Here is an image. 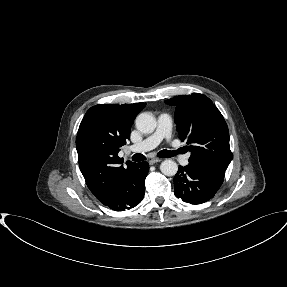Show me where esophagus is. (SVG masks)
I'll return each mask as SVG.
<instances>
[{"label": "esophagus", "mask_w": 287, "mask_h": 287, "mask_svg": "<svg viewBox=\"0 0 287 287\" xmlns=\"http://www.w3.org/2000/svg\"><path fill=\"white\" fill-rule=\"evenodd\" d=\"M161 161H162V159H160V158H152V159L149 160V164L153 165V164L159 163Z\"/></svg>", "instance_id": "34e87169"}]
</instances>
